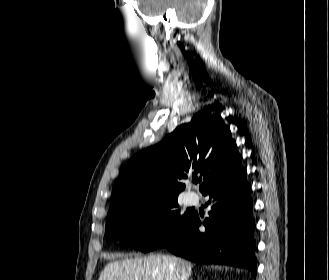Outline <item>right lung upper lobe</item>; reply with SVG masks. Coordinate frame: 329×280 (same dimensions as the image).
I'll return each mask as SVG.
<instances>
[{
    "label": "right lung upper lobe",
    "instance_id": "cb5924a9",
    "mask_svg": "<svg viewBox=\"0 0 329 280\" xmlns=\"http://www.w3.org/2000/svg\"><path fill=\"white\" fill-rule=\"evenodd\" d=\"M236 142L220 115L195 114L157 145L134 155L125 165L113 191L109 212L149 196L175 197L180 181L201 173L202 192L211 182L240 164Z\"/></svg>",
    "mask_w": 329,
    "mask_h": 280
}]
</instances>
